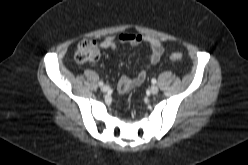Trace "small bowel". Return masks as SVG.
Returning <instances> with one entry per match:
<instances>
[{
	"mask_svg": "<svg viewBox=\"0 0 248 165\" xmlns=\"http://www.w3.org/2000/svg\"><path fill=\"white\" fill-rule=\"evenodd\" d=\"M138 45L145 43L150 48L149 64H157L163 54L164 46L162 42L152 36H143L136 33H123L118 36H107L100 42V47L105 49H115L120 44ZM147 77V69L141 70L135 77H122L118 83V92L126 93L135 87L140 86Z\"/></svg>",
	"mask_w": 248,
	"mask_h": 165,
	"instance_id": "c3829d8e",
	"label": "small bowel"
}]
</instances>
